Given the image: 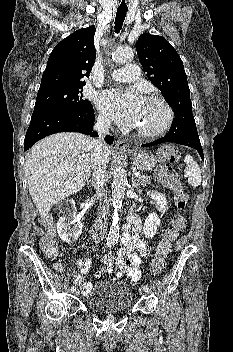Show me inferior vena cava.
<instances>
[{
	"label": "inferior vena cava",
	"instance_id": "602c4592",
	"mask_svg": "<svg viewBox=\"0 0 233 352\" xmlns=\"http://www.w3.org/2000/svg\"><path fill=\"white\" fill-rule=\"evenodd\" d=\"M111 123L109 119L99 116L94 125V130L98 132L99 138L93 140V159H92V177L95 181L96 195L98 198L103 197V187L106 179V159L103 152V137L109 132ZM107 224V210L101 209L95 221V231L92 238L95 242H99L104 238Z\"/></svg>",
	"mask_w": 233,
	"mask_h": 352
}]
</instances>
